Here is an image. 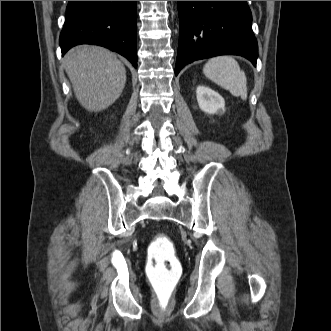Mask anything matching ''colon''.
<instances>
[{"mask_svg": "<svg viewBox=\"0 0 331 331\" xmlns=\"http://www.w3.org/2000/svg\"><path fill=\"white\" fill-rule=\"evenodd\" d=\"M146 273L160 308L172 305L182 274V267L175 255L173 242L165 235H157L150 244Z\"/></svg>", "mask_w": 331, "mask_h": 331, "instance_id": "5ec220e1", "label": "colon"}]
</instances>
